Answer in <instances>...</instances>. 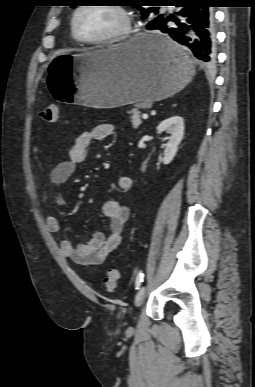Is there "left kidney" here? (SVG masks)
Returning <instances> with one entry per match:
<instances>
[{
	"instance_id": "5707ae66",
	"label": "left kidney",
	"mask_w": 255,
	"mask_h": 387,
	"mask_svg": "<svg viewBox=\"0 0 255 387\" xmlns=\"http://www.w3.org/2000/svg\"><path fill=\"white\" fill-rule=\"evenodd\" d=\"M158 133L166 132L169 134L168 142L164 150L163 164L171 163L176 155L177 147L180 144L184 135L183 118L175 115L162 121L157 127Z\"/></svg>"
}]
</instances>
